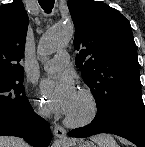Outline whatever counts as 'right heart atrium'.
<instances>
[{
	"instance_id": "right-heart-atrium-1",
	"label": "right heart atrium",
	"mask_w": 145,
	"mask_h": 147,
	"mask_svg": "<svg viewBox=\"0 0 145 147\" xmlns=\"http://www.w3.org/2000/svg\"><path fill=\"white\" fill-rule=\"evenodd\" d=\"M35 112L40 117H44L46 115L44 106L39 102H35Z\"/></svg>"
}]
</instances>
